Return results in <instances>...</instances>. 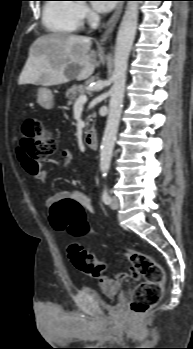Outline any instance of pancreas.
<instances>
[{"mask_svg":"<svg viewBox=\"0 0 193 349\" xmlns=\"http://www.w3.org/2000/svg\"><path fill=\"white\" fill-rule=\"evenodd\" d=\"M85 93V86L84 85H73L71 88H69L66 91V98L68 99V105H72L77 97L81 94Z\"/></svg>","mask_w":193,"mask_h":349,"instance_id":"1","label":"pancreas"}]
</instances>
